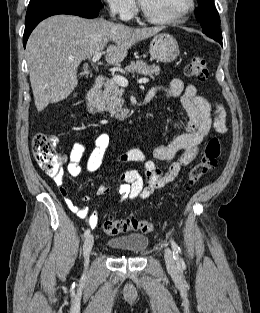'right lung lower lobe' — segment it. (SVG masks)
Listing matches in <instances>:
<instances>
[{
  "mask_svg": "<svg viewBox=\"0 0 260 313\" xmlns=\"http://www.w3.org/2000/svg\"><path fill=\"white\" fill-rule=\"evenodd\" d=\"M102 7L94 6L74 0H33L30 1L26 18L23 44L26 46L27 39L37 24L43 19L57 15L69 14L85 18H95L99 15Z\"/></svg>",
  "mask_w": 260,
  "mask_h": 313,
  "instance_id": "98d812e1",
  "label": "right lung lower lobe"
}]
</instances>
